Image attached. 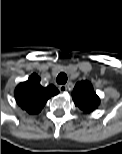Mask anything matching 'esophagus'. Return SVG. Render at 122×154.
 Masks as SVG:
<instances>
[{
    "label": "esophagus",
    "instance_id": "obj_1",
    "mask_svg": "<svg viewBox=\"0 0 122 154\" xmlns=\"http://www.w3.org/2000/svg\"><path fill=\"white\" fill-rule=\"evenodd\" d=\"M67 89H68V87H67L66 85H60V86H59L60 92H66Z\"/></svg>",
    "mask_w": 122,
    "mask_h": 154
}]
</instances>
